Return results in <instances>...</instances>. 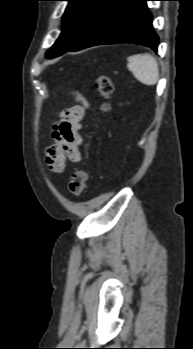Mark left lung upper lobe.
<instances>
[{
	"instance_id": "1",
	"label": "left lung upper lobe",
	"mask_w": 193,
	"mask_h": 349,
	"mask_svg": "<svg viewBox=\"0 0 193 349\" xmlns=\"http://www.w3.org/2000/svg\"><path fill=\"white\" fill-rule=\"evenodd\" d=\"M69 4L63 15L64 29L54 45L46 52L47 58L64 54L80 39L91 22L110 0H66Z\"/></svg>"
}]
</instances>
